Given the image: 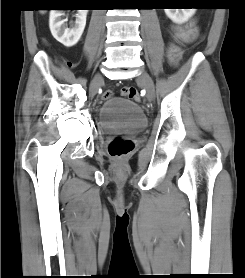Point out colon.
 <instances>
[{"mask_svg":"<svg viewBox=\"0 0 245 278\" xmlns=\"http://www.w3.org/2000/svg\"><path fill=\"white\" fill-rule=\"evenodd\" d=\"M197 8L206 11L210 8L208 4H198ZM122 94L130 100L139 102L140 96L135 87H123L121 90ZM103 98L108 99L112 96L111 91H105L103 93ZM134 149V144L131 140L123 139L121 136H116L112 139L109 145V154L115 161L123 160L127 155H129Z\"/></svg>","mask_w":245,"mask_h":278,"instance_id":"1","label":"colon"}]
</instances>
